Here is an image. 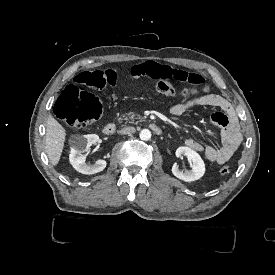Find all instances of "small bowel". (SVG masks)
I'll return each instance as SVG.
<instances>
[{"label": "small bowel", "instance_id": "small-bowel-1", "mask_svg": "<svg viewBox=\"0 0 275 275\" xmlns=\"http://www.w3.org/2000/svg\"><path fill=\"white\" fill-rule=\"evenodd\" d=\"M135 74L138 76H148L153 81L161 79L165 81H180L182 83H195L200 85L204 81V75L200 71L182 70L172 64L163 66L155 62H146L136 66ZM118 72L115 69H108L104 75V81L108 85L117 88ZM117 97H120V91L115 89ZM125 95V92H122ZM196 106H215L225 113L229 119V124L225 127L220 126L219 132L222 138L220 146L215 144H203L198 140L188 138L185 145L199 153H202L206 160L224 164L228 162L242 143V134L239 121L234 106L224 97L217 94H208L173 105L170 109L171 115L181 118L189 109Z\"/></svg>", "mask_w": 275, "mask_h": 275}]
</instances>
